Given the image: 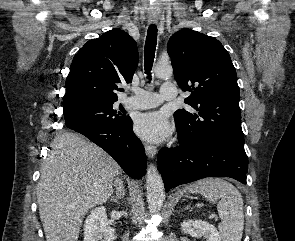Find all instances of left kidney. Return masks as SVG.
I'll use <instances>...</instances> for the list:
<instances>
[{
	"mask_svg": "<svg viewBox=\"0 0 295 241\" xmlns=\"http://www.w3.org/2000/svg\"><path fill=\"white\" fill-rule=\"evenodd\" d=\"M181 229L182 232L195 238L204 236L206 241H221L215 226L202 220H185L181 223Z\"/></svg>",
	"mask_w": 295,
	"mask_h": 241,
	"instance_id": "1",
	"label": "left kidney"
}]
</instances>
